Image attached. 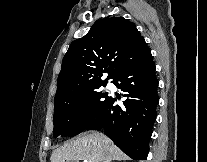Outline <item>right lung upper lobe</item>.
Returning a JSON list of instances; mask_svg holds the SVG:
<instances>
[{"instance_id":"1","label":"right lung upper lobe","mask_w":207,"mask_h":162,"mask_svg":"<svg viewBox=\"0 0 207 162\" xmlns=\"http://www.w3.org/2000/svg\"><path fill=\"white\" fill-rule=\"evenodd\" d=\"M151 55L134 23L123 17L99 20L64 56L55 99L104 86L127 67ZM107 78L101 77L107 72Z\"/></svg>"}]
</instances>
